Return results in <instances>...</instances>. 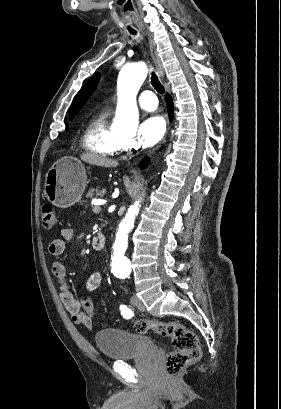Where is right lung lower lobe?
<instances>
[{
  "label": "right lung lower lobe",
  "instance_id": "obj_1",
  "mask_svg": "<svg viewBox=\"0 0 281 409\" xmlns=\"http://www.w3.org/2000/svg\"><path fill=\"white\" fill-rule=\"evenodd\" d=\"M165 100H166V103H167V109H168V113H169V118H170V120H172V118H173V110H174L172 98H171V96H170L169 94H166V95H165ZM144 165H145V164H143L142 167H143Z\"/></svg>",
  "mask_w": 281,
  "mask_h": 409
}]
</instances>
